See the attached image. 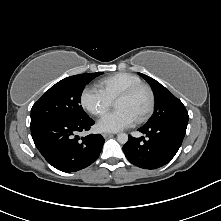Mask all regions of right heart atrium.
I'll return each mask as SVG.
<instances>
[{
	"mask_svg": "<svg viewBox=\"0 0 221 221\" xmlns=\"http://www.w3.org/2000/svg\"><path fill=\"white\" fill-rule=\"evenodd\" d=\"M80 103L86 111L95 116L105 114L112 105V101L100 89L92 86L82 90Z\"/></svg>",
	"mask_w": 221,
	"mask_h": 221,
	"instance_id": "d8ad5b80",
	"label": "right heart atrium"
}]
</instances>
